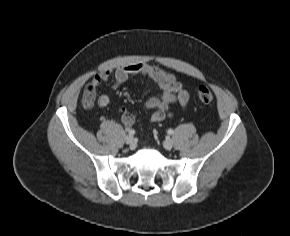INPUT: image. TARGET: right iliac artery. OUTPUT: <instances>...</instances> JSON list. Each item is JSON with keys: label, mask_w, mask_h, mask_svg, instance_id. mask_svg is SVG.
Instances as JSON below:
<instances>
[{"label": "right iliac artery", "mask_w": 290, "mask_h": 236, "mask_svg": "<svg viewBox=\"0 0 290 236\" xmlns=\"http://www.w3.org/2000/svg\"><path fill=\"white\" fill-rule=\"evenodd\" d=\"M135 134V131L134 130H129V135H134Z\"/></svg>", "instance_id": "82829eb1"}]
</instances>
